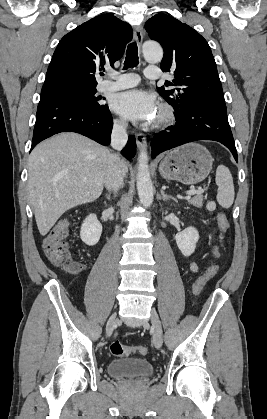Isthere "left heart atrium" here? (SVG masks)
<instances>
[{
    "instance_id": "left-heart-atrium-1",
    "label": "left heart atrium",
    "mask_w": 267,
    "mask_h": 419,
    "mask_svg": "<svg viewBox=\"0 0 267 419\" xmlns=\"http://www.w3.org/2000/svg\"><path fill=\"white\" fill-rule=\"evenodd\" d=\"M112 109L121 116L136 122H151L157 115L156 97L143 89H133L116 94Z\"/></svg>"
}]
</instances>
